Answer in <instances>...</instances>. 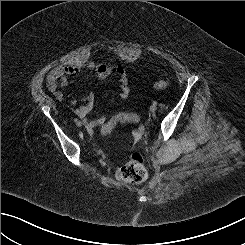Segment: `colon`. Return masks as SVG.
<instances>
[{
    "label": "colon",
    "mask_w": 245,
    "mask_h": 245,
    "mask_svg": "<svg viewBox=\"0 0 245 245\" xmlns=\"http://www.w3.org/2000/svg\"><path fill=\"white\" fill-rule=\"evenodd\" d=\"M168 86L169 81L167 79H158L153 83V87L156 90H164ZM139 120L140 116L137 114L120 113L112 117L102 127V133L109 134L119 123L138 122ZM116 177L121 182L128 184H138L143 182L147 177V170L142 156L138 153L132 154L130 159L117 170Z\"/></svg>",
    "instance_id": "obj_1"
}]
</instances>
